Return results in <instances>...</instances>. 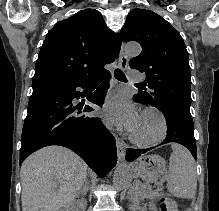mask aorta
I'll return each instance as SVG.
<instances>
[{"mask_svg":"<svg viewBox=\"0 0 219 211\" xmlns=\"http://www.w3.org/2000/svg\"><path fill=\"white\" fill-rule=\"evenodd\" d=\"M127 56H137L141 52V47L137 43H129L124 48ZM131 182V173L126 165H119L113 175V186L117 190L126 189Z\"/></svg>","mask_w":219,"mask_h":211,"instance_id":"aorta-1","label":"aorta"}]
</instances>
